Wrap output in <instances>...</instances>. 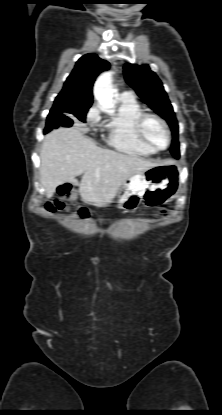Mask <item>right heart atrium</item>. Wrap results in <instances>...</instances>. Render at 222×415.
Wrapping results in <instances>:
<instances>
[{
    "label": "right heart atrium",
    "mask_w": 222,
    "mask_h": 415,
    "mask_svg": "<svg viewBox=\"0 0 222 415\" xmlns=\"http://www.w3.org/2000/svg\"><path fill=\"white\" fill-rule=\"evenodd\" d=\"M87 124L94 127L100 121V111L97 106H92L85 115Z\"/></svg>",
    "instance_id": "1"
}]
</instances>
